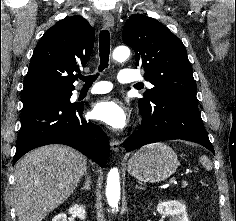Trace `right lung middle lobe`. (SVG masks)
<instances>
[{
	"label": "right lung middle lobe",
	"instance_id": "right-lung-middle-lobe-1",
	"mask_svg": "<svg viewBox=\"0 0 236 221\" xmlns=\"http://www.w3.org/2000/svg\"><path fill=\"white\" fill-rule=\"evenodd\" d=\"M71 95H72V90L46 89L29 93H23L21 94V100L23 103L40 99L69 100Z\"/></svg>",
	"mask_w": 236,
	"mask_h": 221
}]
</instances>
